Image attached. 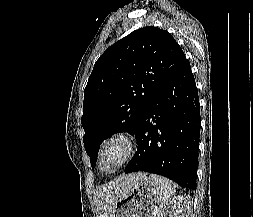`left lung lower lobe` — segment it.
<instances>
[{
  "label": "left lung lower lobe",
  "mask_w": 253,
  "mask_h": 217,
  "mask_svg": "<svg viewBox=\"0 0 253 217\" xmlns=\"http://www.w3.org/2000/svg\"><path fill=\"white\" fill-rule=\"evenodd\" d=\"M200 120L198 91L185 58L139 119L133 133L137 152L125 173H155L196 190Z\"/></svg>",
  "instance_id": "0a47b994"
}]
</instances>
